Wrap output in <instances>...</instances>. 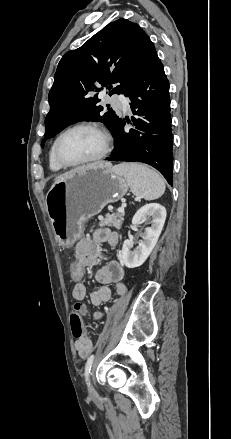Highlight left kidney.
I'll return each mask as SVG.
<instances>
[{"instance_id": "5707ae66", "label": "left kidney", "mask_w": 231, "mask_h": 439, "mask_svg": "<svg viewBox=\"0 0 231 439\" xmlns=\"http://www.w3.org/2000/svg\"><path fill=\"white\" fill-rule=\"evenodd\" d=\"M145 219H152L150 227L144 231V238L140 241L136 249H133V242L125 240L122 247V262L128 268L141 266L154 249L158 238L162 232L165 219L166 209L158 203L146 204L140 208L132 219V225L136 227Z\"/></svg>"}]
</instances>
